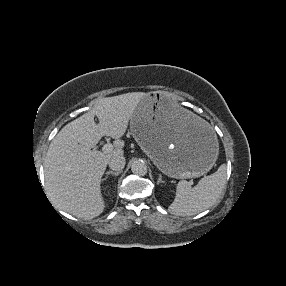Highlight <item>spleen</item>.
<instances>
[{"label": "spleen", "mask_w": 286, "mask_h": 286, "mask_svg": "<svg viewBox=\"0 0 286 286\" xmlns=\"http://www.w3.org/2000/svg\"><path fill=\"white\" fill-rule=\"evenodd\" d=\"M225 181V164H222L215 173L203 177L194 187H191L186 180L179 181L169 211L178 216H192L210 208L220 197Z\"/></svg>", "instance_id": "1"}]
</instances>
